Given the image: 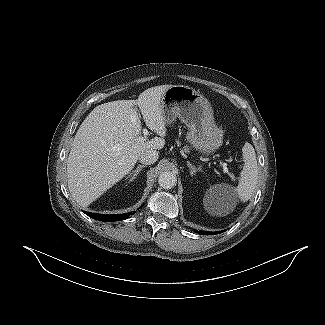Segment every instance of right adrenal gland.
<instances>
[{
  "mask_svg": "<svg viewBox=\"0 0 325 325\" xmlns=\"http://www.w3.org/2000/svg\"><path fill=\"white\" fill-rule=\"evenodd\" d=\"M145 167H146V165H138L137 168H136V170L132 171L129 174V177L131 176V178H130L129 181L130 182L133 181L136 178V176L140 173V171L142 170V168H145Z\"/></svg>",
  "mask_w": 325,
  "mask_h": 325,
  "instance_id": "obj_1",
  "label": "right adrenal gland"
}]
</instances>
